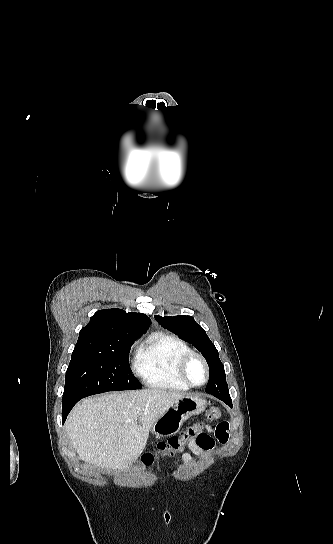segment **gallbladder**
I'll return each mask as SVG.
<instances>
[{
  "mask_svg": "<svg viewBox=\"0 0 333 544\" xmlns=\"http://www.w3.org/2000/svg\"><path fill=\"white\" fill-rule=\"evenodd\" d=\"M134 465H138L140 468L142 467V466H141L140 464H138V463H134Z\"/></svg>",
  "mask_w": 333,
  "mask_h": 544,
  "instance_id": "gallbladder-1",
  "label": "gallbladder"
}]
</instances>
